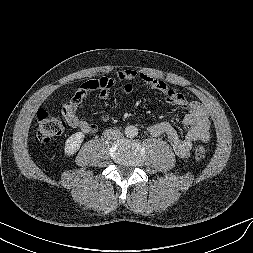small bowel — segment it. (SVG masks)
I'll return each instance as SVG.
<instances>
[{"label":"small bowel","instance_id":"small-bowel-1","mask_svg":"<svg viewBox=\"0 0 253 253\" xmlns=\"http://www.w3.org/2000/svg\"><path fill=\"white\" fill-rule=\"evenodd\" d=\"M117 78L122 81V90L125 94H132L134 87L132 81L141 78L146 83L147 90H155L162 93L169 104L186 107L187 113L183 117V124L187 132L181 138L172 124L169 122H159L148 126V133L153 137L165 135L174 151L180 158H188L191 155L193 143L200 141L206 143L210 140L211 122L207 109L204 105L189 101L180 92L170 87L165 81L158 79L148 72H141L135 69H123L117 73ZM115 80L102 77L89 80L83 83L74 93L71 100L62 108L68 124L79 129L84 134L96 133L97 123H90L81 119L77 114V107L81 105L87 94L99 91L101 99H107L109 91L114 86ZM101 120L106 122L107 116H102Z\"/></svg>","mask_w":253,"mask_h":253}]
</instances>
